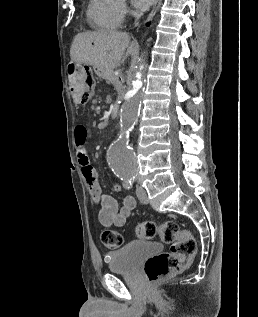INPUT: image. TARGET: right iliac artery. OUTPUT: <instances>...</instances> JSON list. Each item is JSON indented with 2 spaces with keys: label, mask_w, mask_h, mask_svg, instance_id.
I'll list each match as a JSON object with an SVG mask.
<instances>
[{
  "label": "right iliac artery",
  "mask_w": 258,
  "mask_h": 317,
  "mask_svg": "<svg viewBox=\"0 0 258 317\" xmlns=\"http://www.w3.org/2000/svg\"><path fill=\"white\" fill-rule=\"evenodd\" d=\"M123 186L125 189L129 190L132 186V182L130 178H122Z\"/></svg>",
  "instance_id": "obj_1"
}]
</instances>
